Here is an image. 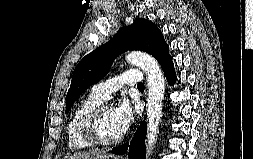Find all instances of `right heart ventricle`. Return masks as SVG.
Masks as SVG:
<instances>
[{"label": "right heart ventricle", "instance_id": "1", "mask_svg": "<svg viewBox=\"0 0 253 159\" xmlns=\"http://www.w3.org/2000/svg\"><path fill=\"white\" fill-rule=\"evenodd\" d=\"M103 101L91 92L74 109L69 118L66 131L68 147L71 150L81 151L91 148V145L83 136L84 124L93 109Z\"/></svg>", "mask_w": 253, "mask_h": 159}]
</instances>
